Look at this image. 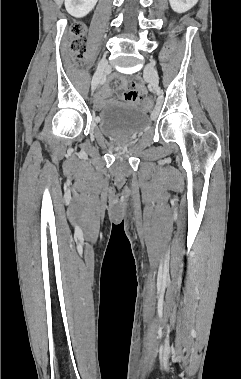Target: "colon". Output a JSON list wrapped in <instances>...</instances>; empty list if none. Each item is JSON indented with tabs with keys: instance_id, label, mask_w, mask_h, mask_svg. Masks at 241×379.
I'll return each instance as SVG.
<instances>
[{
	"instance_id": "colon-1",
	"label": "colon",
	"mask_w": 241,
	"mask_h": 379,
	"mask_svg": "<svg viewBox=\"0 0 241 379\" xmlns=\"http://www.w3.org/2000/svg\"><path fill=\"white\" fill-rule=\"evenodd\" d=\"M184 19H189V14H184ZM175 33L168 37L169 44H163L159 47V53L156 56V62L167 64L173 62L174 53L177 52L178 43L182 42L183 33L180 31V24H175ZM177 33V35H176ZM86 28L83 24L75 23L70 27V54L74 63H78L83 53L86 51ZM142 108H151V98H142Z\"/></svg>"
}]
</instances>
